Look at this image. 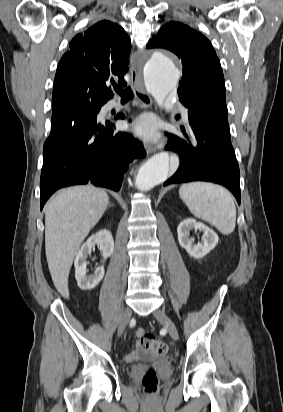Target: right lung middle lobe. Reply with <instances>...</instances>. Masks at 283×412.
I'll list each match as a JSON object with an SVG mask.
<instances>
[{
	"label": "right lung middle lobe",
	"mask_w": 283,
	"mask_h": 412,
	"mask_svg": "<svg viewBox=\"0 0 283 412\" xmlns=\"http://www.w3.org/2000/svg\"><path fill=\"white\" fill-rule=\"evenodd\" d=\"M101 106V103H94L91 101L78 102L64 112L52 114L51 124H61L72 121L80 114L87 111L99 112Z\"/></svg>",
	"instance_id": "1"
}]
</instances>
